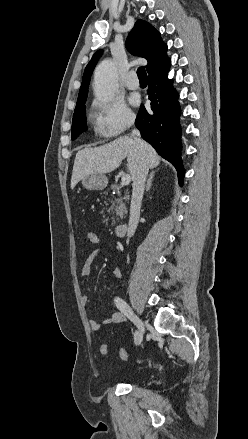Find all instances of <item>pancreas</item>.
Returning <instances> with one entry per match:
<instances>
[{
  "instance_id": "1",
  "label": "pancreas",
  "mask_w": 248,
  "mask_h": 439,
  "mask_svg": "<svg viewBox=\"0 0 248 439\" xmlns=\"http://www.w3.org/2000/svg\"><path fill=\"white\" fill-rule=\"evenodd\" d=\"M122 188V184H120V185H116V184H114V185H112L111 186V189L113 190V191H115L117 194H119V190ZM108 192L107 191H105L104 192V194H107ZM129 199V196L127 195V196H125V197H120V198H116L115 199V202H116V205L115 204H113L114 206H116V208H124L125 207V204H124V200H128ZM112 225H114V224H112Z\"/></svg>"
}]
</instances>
